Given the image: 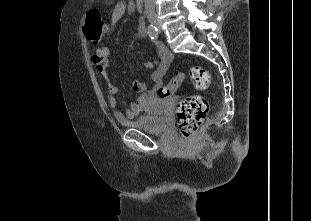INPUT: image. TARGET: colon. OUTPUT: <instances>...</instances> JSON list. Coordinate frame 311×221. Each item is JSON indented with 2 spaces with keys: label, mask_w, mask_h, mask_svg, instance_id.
I'll return each instance as SVG.
<instances>
[{
  "label": "colon",
  "mask_w": 311,
  "mask_h": 221,
  "mask_svg": "<svg viewBox=\"0 0 311 221\" xmlns=\"http://www.w3.org/2000/svg\"><path fill=\"white\" fill-rule=\"evenodd\" d=\"M102 12L98 8H90L87 11V24L85 25V38L91 43L97 44L101 39L104 25L100 24L99 17ZM190 77L193 85L197 89H207L211 85V75L208 70L201 67H191ZM183 79L180 75L176 80L167 85L166 88H158L157 94L161 99H166L173 89L178 87L179 81ZM210 112V107L206 98L201 96H186L180 99L177 105V116L175 126L177 131L188 139L203 124Z\"/></svg>",
  "instance_id": "1"
}]
</instances>
